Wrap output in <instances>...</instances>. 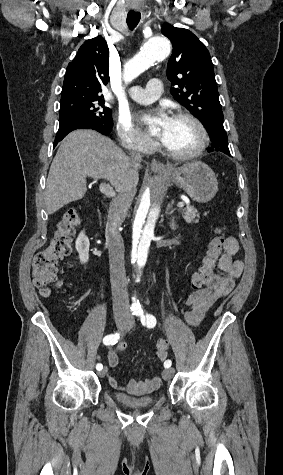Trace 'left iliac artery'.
Instances as JSON below:
<instances>
[{"mask_svg":"<svg viewBox=\"0 0 283 475\" xmlns=\"http://www.w3.org/2000/svg\"><path fill=\"white\" fill-rule=\"evenodd\" d=\"M134 314L140 317L142 325H147L148 328H153L156 325V318L152 314L146 313L144 315L143 310H136ZM171 364V360H167L164 362V367L169 368Z\"/></svg>","mask_w":283,"mask_h":475,"instance_id":"1","label":"left iliac artery"}]
</instances>
